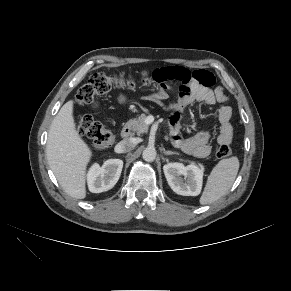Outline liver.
Instances as JSON below:
<instances>
[{
    "label": "liver",
    "mask_w": 291,
    "mask_h": 291,
    "mask_svg": "<svg viewBox=\"0 0 291 291\" xmlns=\"http://www.w3.org/2000/svg\"><path fill=\"white\" fill-rule=\"evenodd\" d=\"M74 101L65 103L48 133L46 155L50 168L63 190L75 199L86 197V168L92 156L74 120Z\"/></svg>",
    "instance_id": "6515ba94"
}]
</instances>
